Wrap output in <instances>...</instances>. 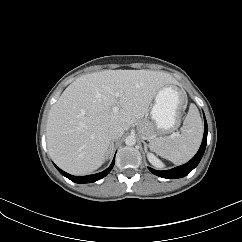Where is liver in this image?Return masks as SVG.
<instances>
[{
  "instance_id": "liver-1",
  "label": "liver",
  "mask_w": 242,
  "mask_h": 242,
  "mask_svg": "<svg viewBox=\"0 0 242 242\" xmlns=\"http://www.w3.org/2000/svg\"><path fill=\"white\" fill-rule=\"evenodd\" d=\"M168 84L178 82L168 73L150 70H104L79 77L49 112L46 139L51 158L73 175L96 170L111 143L109 129L137 125L158 90ZM116 104L121 108L114 113Z\"/></svg>"
}]
</instances>
